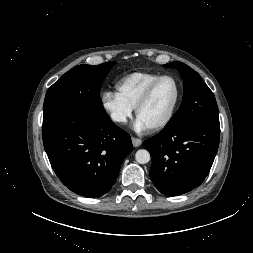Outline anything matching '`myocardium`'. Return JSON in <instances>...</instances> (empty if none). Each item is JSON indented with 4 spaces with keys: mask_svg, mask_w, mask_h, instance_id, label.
I'll list each match as a JSON object with an SVG mask.
<instances>
[{
    "mask_svg": "<svg viewBox=\"0 0 253 253\" xmlns=\"http://www.w3.org/2000/svg\"><path fill=\"white\" fill-rule=\"evenodd\" d=\"M164 79H172L175 82L176 89H177L176 97L168 115L158 124L148 128V130L151 132H157L164 129L166 126L170 124V122L174 118L177 108L179 106L180 100H181V95H182V90H181V85H180L179 80L175 76L170 75V74L161 75L146 88V90L144 91V93L142 94V96L140 97V99L138 100V102L136 103L134 107L135 116L136 118H138V114L140 110L147 104V102L149 101L150 97L152 96L158 84Z\"/></svg>",
    "mask_w": 253,
    "mask_h": 253,
    "instance_id": "myocardium-1",
    "label": "myocardium"
}]
</instances>
